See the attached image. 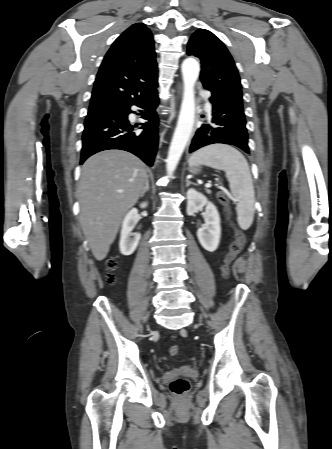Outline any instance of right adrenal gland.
<instances>
[{
    "mask_svg": "<svg viewBox=\"0 0 332 449\" xmlns=\"http://www.w3.org/2000/svg\"><path fill=\"white\" fill-rule=\"evenodd\" d=\"M149 190V176L147 175L146 177V183H145V187L141 193V197L144 196L145 192H147Z\"/></svg>",
    "mask_w": 332,
    "mask_h": 449,
    "instance_id": "right-adrenal-gland-1",
    "label": "right adrenal gland"
}]
</instances>
